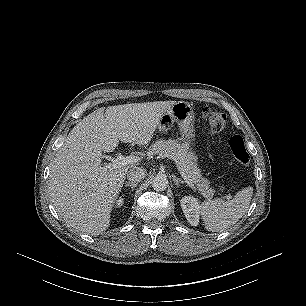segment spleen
<instances>
[{"label":"spleen","instance_id":"1","mask_svg":"<svg viewBox=\"0 0 306 306\" xmlns=\"http://www.w3.org/2000/svg\"><path fill=\"white\" fill-rule=\"evenodd\" d=\"M253 195V188L238 191L232 200L221 198L203 202L199 213L208 231H224L238 222L247 212Z\"/></svg>","mask_w":306,"mask_h":306}]
</instances>
